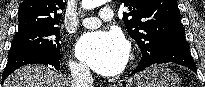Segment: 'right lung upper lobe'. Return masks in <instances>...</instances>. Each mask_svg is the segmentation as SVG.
<instances>
[{"instance_id": "obj_1", "label": "right lung upper lobe", "mask_w": 205, "mask_h": 87, "mask_svg": "<svg viewBox=\"0 0 205 87\" xmlns=\"http://www.w3.org/2000/svg\"><path fill=\"white\" fill-rule=\"evenodd\" d=\"M65 0H24L19 5L18 32L57 28Z\"/></svg>"}]
</instances>
